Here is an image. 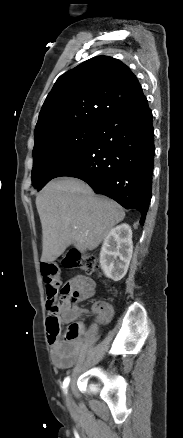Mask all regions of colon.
<instances>
[{
    "label": "colon",
    "mask_w": 183,
    "mask_h": 438,
    "mask_svg": "<svg viewBox=\"0 0 183 438\" xmlns=\"http://www.w3.org/2000/svg\"><path fill=\"white\" fill-rule=\"evenodd\" d=\"M60 264L66 269H81L92 274L98 271V262L92 255L81 253L77 250L68 251L61 259ZM41 274L46 288V309L48 317L46 325L48 333L58 336L61 332L60 312L65 300H76L70 288L64 285L60 289V266L58 262H46L41 264ZM60 293V298H57ZM81 334V326L72 322L63 334V339L71 341Z\"/></svg>",
    "instance_id": "1"
}]
</instances>
